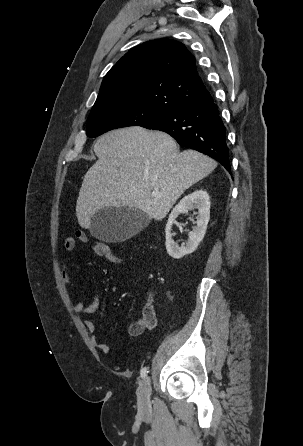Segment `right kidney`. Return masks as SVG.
<instances>
[{
    "label": "right kidney",
    "mask_w": 303,
    "mask_h": 446,
    "mask_svg": "<svg viewBox=\"0 0 303 446\" xmlns=\"http://www.w3.org/2000/svg\"><path fill=\"white\" fill-rule=\"evenodd\" d=\"M198 209L196 226L189 232L186 244L181 247L172 239L171 229L175 219L181 213H188L189 210ZM210 197L204 190H197L185 196L172 210L166 224V249L168 254L174 259H180L185 255L193 253L199 243L204 238L207 224L210 219Z\"/></svg>",
    "instance_id": "obj_1"
}]
</instances>
